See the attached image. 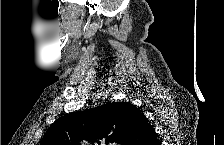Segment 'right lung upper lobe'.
<instances>
[{
	"label": "right lung upper lobe",
	"mask_w": 224,
	"mask_h": 145,
	"mask_svg": "<svg viewBox=\"0 0 224 145\" xmlns=\"http://www.w3.org/2000/svg\"><path fill=\"white\" fill-rule=\"evenodd\" d=\"M84 119L85 126L81 128ZM83 138L98 145H154L158 141L153 126L136 106L108 102L60 117L44 134L40 145H76Z\"/></svg>",
	"instance_id": "obj_1"
}]
</instances>
